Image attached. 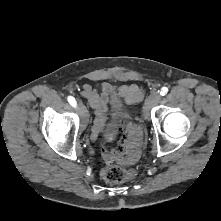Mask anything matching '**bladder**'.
I'll return each mask as SVG.
<instances>
[{"label": "bladder", "mask_w": 221, "mask_h": 221, "mask_svg": "<svg viewBox=\"0 0 221 221\" xmlns=\"http://www.w3.org/2000/svg\"><path fill=\"white\" fill-rule=\"evenodd\" d=\"M111 115L114 123L125 119L128 116L127 107L124 102L118 97H113L111 100Z\"/></svg>", "instance_id": "31cf9c89"}]
</instances>
